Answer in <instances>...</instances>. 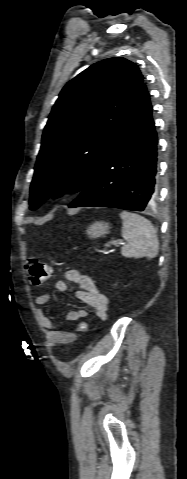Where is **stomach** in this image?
<instances>
[{
	"instance_id": "1",
	"label": "stomach",
	"mask_w": 187,
	"mask_h": 479,
	"mask_svg": "<svg viewBox=\"0 0 187 479\" xmlns=\"http://www.w3.org/2000/svg\"><path fill=\"white\" fill-rule=\"evenodd\" d=\"M109 224L103 221H97L91 224L87 229V234L90 238H99L109 232Z\"/></svg>"
}]
</instances>
